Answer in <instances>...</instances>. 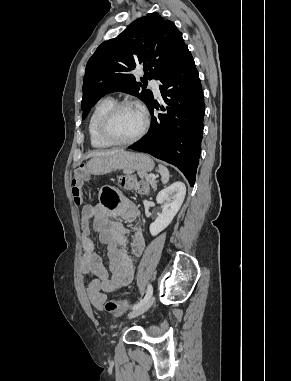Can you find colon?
Wrapping results in <instances>:
<instances>
[{
  "instance_id": "5ec220e1",
  "label": "colon",
  "mask_w": 291,
  "mask_h": 381,
  "mask_svg": "<svg viewBox=\"0 0 291 381\" xmlns=\"http://www.w3.org/2000/svg\"><path fill=\"white\" fill-rule=\"evenodd\" d=\"M84 182L83 170H74L71 178L72 183V196L75 204L79 205L82 199V186ZM123 183L126 189L135 191L138 194H146L148 192V187L145 183L136 181L134 179H123ZM107 205H113L117 202L115 199H104ZM129 306L127 300L123 299H111L105 304V310L110 313H117L125 311Z\"/></svg>"
}]
</instances>
